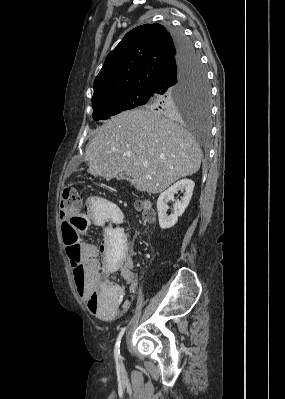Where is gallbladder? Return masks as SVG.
<instances>
[{
	"mask_svg": "<svg viewBox=\"0 0 285 399\" xmlns=\"http://www.w3.org/2000/svg\"><path fill=\"white\" fill-rule=\"evenodd\" d=\"M118 179H123V180H130V177L126 174H120L118 176Z\"/></svg>",
	"mask_w": 285,
	"mask_h": 399,
	"instance_id": "bac80fb5",
	"label": "gallbladder"
}]
</instances>
